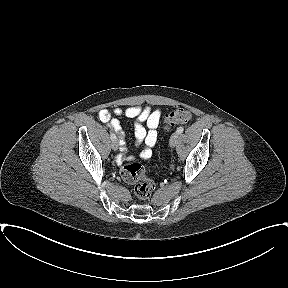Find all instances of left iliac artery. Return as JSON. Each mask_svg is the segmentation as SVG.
Listing matches in <instances>:
<instances>
[{
    "instance_id": "1",
    "label": "left iliac artery",
    "mask_w": 288,
    "mask_h": 288,
    "mask_svg": "<svg viewBox=\"0 0 288 288\" xmlns=\"http://www.w3.org/2000/svg\"><path fill=\"white\" fill-rule=\"evenodd\" d=\"M183 130H184V128H183L182 126H180V127L177 128V131H176V132H177L178 134H181V133L183 132Z\"/></svg>"
}]
</instances>
